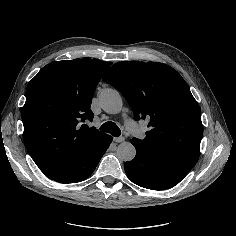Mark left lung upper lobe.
<instances>
[{"label": "left lung upper lobe", "instance_id": "left-lung-upper-lobe-1", "mask_svg": "<svg viewBox=\"0 0 236 236\" xmlns=\"http://www.w3.org/2000/svg\"><path fill=\"white\" fill-rule=\"evenodd\" d=\"M129 103L137 120H148L143 140L131 141L189 172L199 157L201 112L189 86L170 66L119 62L103 76Z\"/></svg>", "mask_w": 236, "mask_h": 236}]
</instances>
